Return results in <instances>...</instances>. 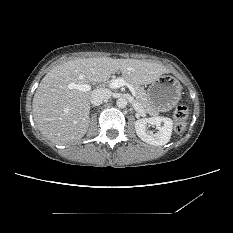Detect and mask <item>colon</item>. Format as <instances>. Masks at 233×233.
<instances>
[{
  "label": "colon",
  "mask_w": 233,
  "mask_h": 233,
  "mask_svg": "<svg viewBox=\"0 0 233 233\" xmlns=\"http://www.w3.org/2000/svg\"><path fill=\"white\" fill-rule=\"evenodd\" d=\"M188 108L185 105H178L174 110V127L177 132L185 129L187 124Z\"/></svg>",
  "instance_id": "colon-1"
}]
</instances>
